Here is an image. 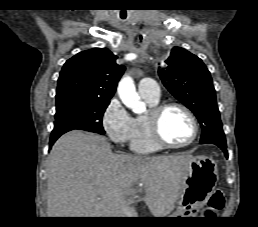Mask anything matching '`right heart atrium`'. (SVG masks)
Listing matches in <instances>:
<instances>
[{
    "mask_svg": "<svg viewBox=\"0 0 258 227\" xmlns=\"http://www.w3.org/2000/svg\"><path fill=\"white\" fill-rule=\"evenodd\" d=\"M102 127L117 145L131 142L135 134V120L118 99H112L102 116Z\"/></svg>",
    "mask_w": 258,
    "mask_h": 227,
    "instance_id": "obj_1",
    "label": "right heart atrium"
}]
</instances>
